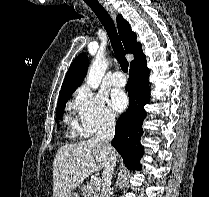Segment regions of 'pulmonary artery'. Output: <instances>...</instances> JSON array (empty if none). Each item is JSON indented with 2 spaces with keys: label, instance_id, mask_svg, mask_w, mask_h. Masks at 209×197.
Returning a JSON list of instances; mask_svg holds the SVG:
<instances>
[{
  "label": "pulmonary artery",
  "instance_id": "pulmonary-artery-1",
  "mask_svg": "<svg viewBox=\"0 0 209 197\" xmlns=\"http://www.w3.org/2000/svg\"><path fill=\"white\" fill-rule=\"evenodd\" d=\"M111 84L115 87H123L126 85V77L120 71H116L112 74Z\"/></svg>",
  "mask_w": 209,
  "mask_h": 197
}]
</instances>
